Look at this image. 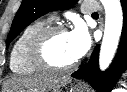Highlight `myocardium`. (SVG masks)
<instances>
[{
  "instance_id": "1",
  "label": "myocardium",
  "mask_w": 127,
  "mask_h": 92,
  "mask_svg": "<svg viewBox=\"0 0 127 92\" xmlns=\"http://www.w3.org/2000/svg\"><path fill=\"white\" fill-rule=\"evenodd\" d=\"M59 33H68V30L60 24L48 25L32 37L28 47V57L37 69L50 73H67L78 65V60L64 66H58L49 60L48 45L51 39Z\"/></svg>"
}]
</instances>
